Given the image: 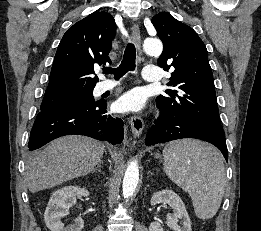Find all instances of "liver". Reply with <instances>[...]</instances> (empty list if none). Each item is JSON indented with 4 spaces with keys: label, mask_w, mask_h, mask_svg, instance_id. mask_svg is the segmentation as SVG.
<instances>
[{
    "label": "liver",
    "mask_w": 261,
    "mask_h": 231,
    "mask_svg": "<svg viewBox=\"0 0 261 231\" xmlns=\"http://www.w3.org/2000/svg\"><path fill=\"white\" fill-rule=\"evenodd\" d=\"M103 153L104 145L88 137L65 136L52 141L26 164L29 191L36 193L87 175L101 162Z\"/></svg>",
    "instance_id": "1"
}]
</instances>
